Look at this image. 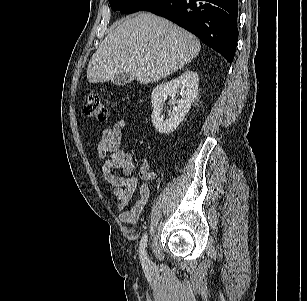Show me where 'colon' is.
Segmentation results:
<instances>
[{
	"label": "colon",
	"instance_id": "5ec220e1",
	"mask_svg": "<svg viewBox=\"0 0 307 301\" xmlns=\"http://www.w3.org/2000/svg\"><path fill=\"white\" fill-rule=\"evenodd\" d=\"M84 109L88 116L96 120L105 122L109 118V113L105 104L96 93L90 92L85 95Z\"/></svg>",
	"mask_w": 307,
	"mask_h": 301
}]
</instances>
